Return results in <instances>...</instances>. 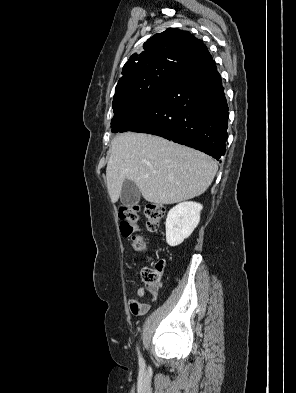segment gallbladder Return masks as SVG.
I'll return each mask as SVG.
<instances>
[{
  "label": "gallbladder",
  "instance_id": "obj_1",
  "mask_svg": "<svg viewBox=\"0 0 296 393\" xmlns=\"http://www.w3.org/2000/svg\"><path fill=\"white\" fill-rule=\"evenodd\" d=\"M140 200V190L137 185L131 181L126 180L123 183L120 201L126 207H131L138 204Z\"/></svg>",
  "mask_w": 296,
  "mask_h": 393
}]
</instances>
